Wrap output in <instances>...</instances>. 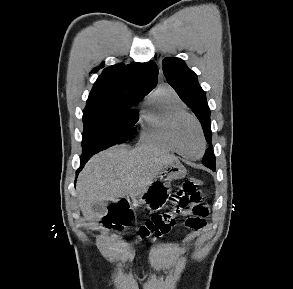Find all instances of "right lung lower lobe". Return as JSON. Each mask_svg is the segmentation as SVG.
I'll list each match as a JSON object with an SVG mask.
<instances>
[{
	"instance_id": "right-lung-lower-lobe-1",
	"label": "right lung lower lobe",
	"mask_w": 293,
	"mask_h": 289,
	"mask_svg": "<svg viewBox=\"0 0 293 289\" xmlns=\"http://www.w3.org/2000/svg\"><path fill=\"white\" fill-rule=\"evenodd\" d=\"M91 156L89 155H82L81 156V167L80 169L84 166V164L86 163V161L90 158ZM79 170L77 171V174H78Z\"/></svg>"
}]
</instances>
